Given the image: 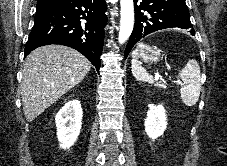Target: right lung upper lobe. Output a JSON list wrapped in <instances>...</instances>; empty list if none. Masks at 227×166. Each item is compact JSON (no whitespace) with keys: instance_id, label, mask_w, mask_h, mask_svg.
<instances>
[{"instance_id":"obj_1","label":"right lung upper lobe","mask_w":227,"mask_h":166,"mask_svg":"<svg viewBox=\"0 0 227 166\" xmlns=\"http://www.w3.org/2000/svg\"><path fill=\"white\" fill-rule=\"evenodd\" d=\"M58 1H61V0H38L37 1V7L42 8V7L54 4Z\"/></svg>"}]
</instances>
